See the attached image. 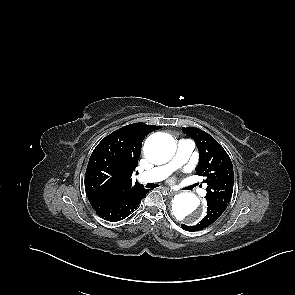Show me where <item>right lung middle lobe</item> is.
<instances>
[{"label":"right lung middle lobe","instance_id":"obj_1","mask_svg":"<svg viewBox=\"0 0 295 295\" xmlns=\"http://www.w3.org/2000/svg\"><path fill=\"white\" fill-rule=\"evenodd\" d=\"M112 178L111 169L101 163L88 164L85 174V188L87 194L97 193L107 187Z\"/></svg>","mask_w":295,"mask_h":295}]
</instances>
